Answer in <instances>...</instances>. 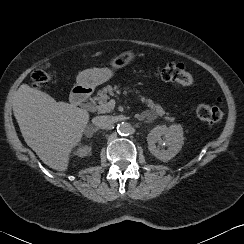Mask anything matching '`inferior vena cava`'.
Returning a JSON list of instances; mask_svg holds the SVG:
<instances>
[{
    "mask_svg": "<svg viewBox=\"0 0 244 244\" xmlns=\"http://www.w3.org/2000/svg\"><path fill=\"white\" fill-rule=\"evenodd\" d=\"M92 123L98 128L107 129L113 124V121L110 116H96L92 119Z\"/></svg>",
    "mask_w": 244,
    "mask_h": 244,
    "instance_id": "602c4592",
    "label": "inferior vena cava"
}]
</instances>
